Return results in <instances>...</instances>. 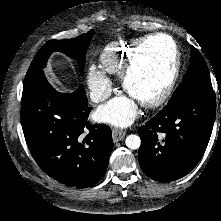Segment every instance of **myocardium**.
<instances>
[{
    "label": "myocardium",
    "instance_id": "myocardium-1",
    "mask_svg": "<svg viewBox=\"0 0 221 221\" xmlns=\"http://www.w3.org/2000/svg\"><path fill=\"white\" fill-rule=\"evenodd\" d=\"M156 37H163L166 38L172 46V59L171 64L168 68V77L163 85L158 87L154 92H152L151 96L148 99L144 100H137L142 106L146 108H155L161 105L170 95L175 82L177 80L180 66H181V56L179 53L178 45L175 39L167 33H155L150 34L143 37L133 48L127 63L125 64L124 68L120 73V82L122 89L131 96L129 91V80L131 77L132 72L134 71L137 62L139 60L141 51L143 47L152 39Z\"/></svg>",
    "mask_w": 221,
    "mask_h": 221
}]
</instances>
